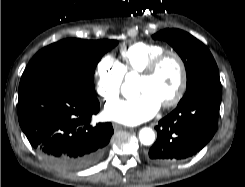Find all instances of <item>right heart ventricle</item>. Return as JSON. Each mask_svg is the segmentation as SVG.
<instances>
[{
	"mask_svg": "<svg viewBox=\"0 0 245 187\" xmlns=\"http://www.w3.org/2000/svg\"><path fill=\"white\" fill-rule=\"evenodd\" d=\"M166 50L167 48L159 43L135 42L120 48L119 64L124 75L139 73L153 57Z\"/></svg>",
	"mask_w": 245,
	"mask_h": 187,
	"instance_id": "right-heart-ventricle-1",
	"label": "right heart ventricle"
}]
</instances>
